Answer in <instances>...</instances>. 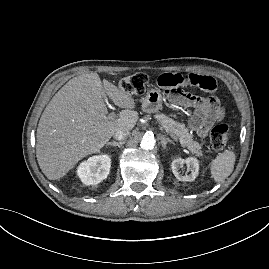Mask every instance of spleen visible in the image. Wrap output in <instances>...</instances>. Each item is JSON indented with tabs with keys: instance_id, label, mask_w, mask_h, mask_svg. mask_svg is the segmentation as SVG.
Wrapping results in <instances>:
<instances>
[{
	"instance_id": "obj_1",
	"label": "spleen",
	"mask_w": 269,
	"mask_h": 269,
	"mask_svg": "<svg viewBox=\"0 0 269 269\" xmlns=\"http://www.w3.org/2000/svg\"><path fill=\"white\" fill-rule=\"evenodd\" d=\"M236 161V154L233 151L226 150L220 153L211 162V177L215 182L220 183L224 181L233 172Z\"/></svg>"
}]
</instances>
